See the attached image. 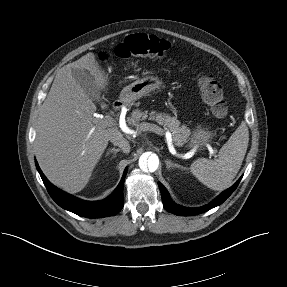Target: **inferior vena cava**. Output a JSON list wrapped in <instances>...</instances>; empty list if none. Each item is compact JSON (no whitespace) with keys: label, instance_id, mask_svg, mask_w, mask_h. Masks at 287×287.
Segmentation results:
<instances>
[{"label":"inferior vena cava","instance_id":"602c4592","mask_svg":"<svg viewBox=\"0 0 287 287\" xmlns=\"http://www.w3.org/2000/svg\"><path fill=\"white\" fill-rule=\"evenodd\" d=\"M110 141L115 145L121 148V150L124 153H129L130 152V144L129 142L123 138V137H118V136H114L111 137Z\"/></svg>","mask_w":287,"mask_h":287}]
</instances>
